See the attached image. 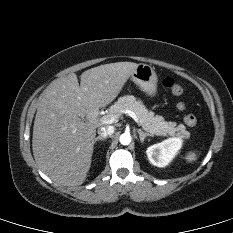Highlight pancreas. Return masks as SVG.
<instances>
[{
  "label": "pancreas",
  "mask_w": 233,
  "mask_h": 233,
  "mask_svg": "<svg viewBox=\"0 0 233 233\" xmlns=\"http://www.w3.org/2000/svg\"><path fill=\"white\" fill-rule=\"evenodd\" d=\"M124 110L133 111L139 120V125L152 136L189 137L190 135L183 125H177L171 121L167 122L162 116H155L154 112L146 109L141 100L136 99L132 95L120 97L109 108L108 112L110 115L115 114L120 116Z\"/></svg>",
  "instance_id": "obj_1"
}]
</instances>
